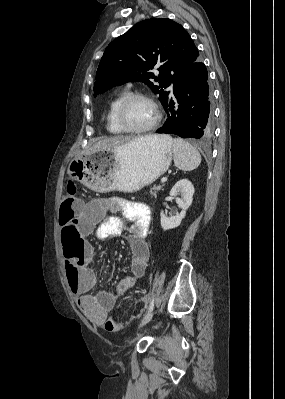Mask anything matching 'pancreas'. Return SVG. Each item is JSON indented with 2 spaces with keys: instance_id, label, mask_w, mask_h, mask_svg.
Listing matches in <instances>:
<instances>
[{
  "instance_id": "obj_1",
  "label": "pancreas",
  "mask_w": 285,
  "mask_h": 399,
  "mask_svg": "<svg viewBox=\"0 0 285 399\" xmlns=\"http://www.w3.org/2000/svg\"><path fill=\"white\" fill-rule=\"evenodd\" d=\"M162 187H163V185H157V186L155 185V186H153V187L151 188V191H150L151 195H152L153 197H156L158 191H160V190L162 189Z\"/></svg>"
}]
</instances>
